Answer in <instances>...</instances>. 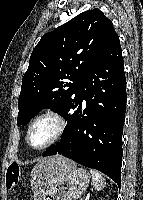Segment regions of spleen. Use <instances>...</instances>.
<instances>
[{"mask_svg":"<svg viewBox=\"0 0 143 200\" xmlns=\"http://www.w3.org/2000/svg\"><path fill=\"white\" fill-rule=\"evenodd\" d=\"M90 173L92 175V182H93V187L97 190L100 191L105 187V179L102 176L101 173L94 169H90Z\"/></svg>","mask_w":143,"mask_h":200,"instance_id":"obj_1","label":"spleen"}]
</instances>
